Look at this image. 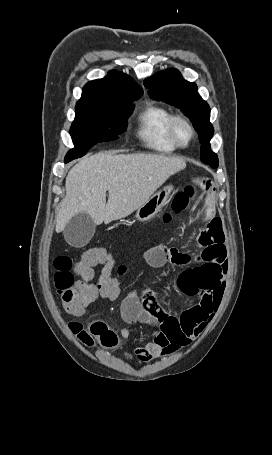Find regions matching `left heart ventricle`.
Returning a JSON list of instances; mask_svg holds the SVG:
<instances>
[{"label": "left heart ventricle", "mask_w": 272, "mask_h": 455, "mask_svg": "<svg viewBox=\"0 0 272 455\" xmlns=\"http://www.w3.org/2000/svg\"><path fill=\"white\" fill-rule=\"evenodd\" d=\"M176 132H177V137L180 140V142L186 143L189 140L190 131L187 128V126H185L184 124L179 123L177 125Z\"/></svg>", "instance_id": "left-heart-ventricle-1"}]
</instances>
